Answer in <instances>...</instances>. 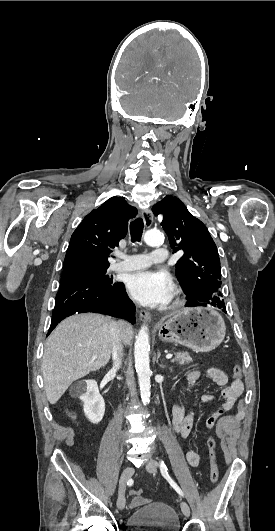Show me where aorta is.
Masks as SVG:
<instances>
[{
	"mask_svg": "<svg viewBox=\"0 0 275 531\" xmlns=\"http://www.w3.org/2000/svg\"><path fill=\"white\" fill-rule=\"evenodd\" d=\"M161 237L162 235L161 233H158V231H147V233H145L144 235V241L146 245H149V247H156L157 243L161 241ZM148 331V327H146V325H143L136 337L134 345L135 369L137 371L140 395L142 403H144V405H146V403H149L151 395V371L149 367L150 343Z\"/></svg>",
	"mask_w": 275,
	"mask_h": 531,
	"instance_id": "aorta-1",
	"label": "aorta"
}]
</instances>
